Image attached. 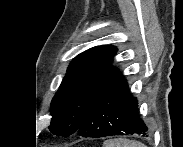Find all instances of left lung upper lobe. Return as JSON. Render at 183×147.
I'll return each mask as SVG.
<instances>
[{
	"mask_svg": "<svg viewBox=\"0 0 183 147\" xmlns=\"http://www.w3.org/2000/svg\"><path fill=\"white\" fill-rule=\"evenodd\" d=\"M116 52L113 46H97L73 59L51 102L53 134L68 137L77 132L99 99L124 78L110 65Z\"/></svg>",
	"mask_w": 183,
	"mask_h": 147,
	"instance_id": "left-lung-upper-lobe-1",
	"label": "left lung upper lobe"
}]
</instances>
